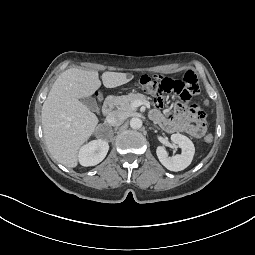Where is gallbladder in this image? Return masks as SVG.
I'll list each match as a JSON object with an SVG mask.
<instances>
[{
  "label": "gallbladder",
  "mask_w": 255,
  "mask_h": 255,
  "mask_svg": "<svg viewBox=\"0 0 255 255\" xmlns=\"http://www.w3.org/2000/svg\"><path fill=\"white\" fill-rule=\"evenodd\" d=\"M80 101L87 106L91 111L93 112H99V106L94 98L91 97H86V98H81Z\"/></svg>",
  "instance_id": "bac80fb5"
}]
</instances>
